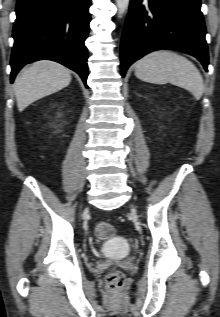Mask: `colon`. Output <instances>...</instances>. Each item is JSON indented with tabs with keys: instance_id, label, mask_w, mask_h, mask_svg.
Returning <instances> with one entry per match:
<instances>
[{
	"instance_id": "1",
	"label": "colon",
	"mask_w": 220,
	"mask_h": 317,
	"mask_svg": "<svg viewBox=\"0 0 220 317\" xmlns=\"http://www.w3.org/2000/svg\"><path fill=\"white\" fill-rule=\"evenodd\" d=\"M114 229L108 222H98L95 225V234L98 239L105 240L112 236ZM106 282L110 290L118 291L124 285V275L120 271H112L106 277Z\"/></svg>"
}]
</instances>
